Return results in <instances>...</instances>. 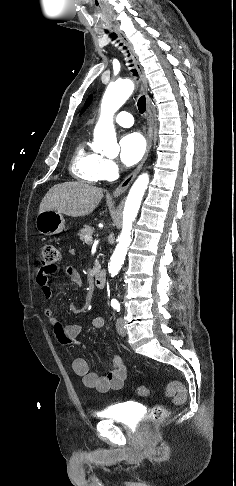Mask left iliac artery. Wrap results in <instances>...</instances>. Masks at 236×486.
Returning a JSON list of instances; mask_svg holds the SVG:
<instances>
[{
    "label": "left iliac artery",
    "mask_w": 236,
    "mask_h": 486,
    "mask_svg": "<svg viewBox=\"0 0 236 486\" xmlns=\"http://www.w3.org/2000/svg\"><path fill=\"white\" fill-rule=\"evenodd\" d=\"M111 305H112V307H113L115 310H117V311H119V310H120V304L118 303V301L113 300V301L111 302Z\"/></svg>",
    "instance_id": "1"
}]
</instances>
